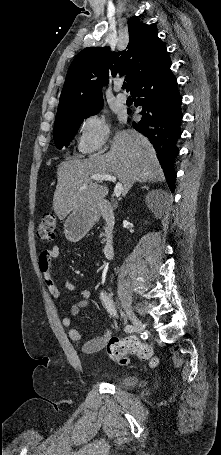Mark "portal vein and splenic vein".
Segmentation results:
<instances>
[{
    "mask_svg": "<svg viewBox=\"0 0 221 455\" xmlns=\"http://www.w3.org/2000/svg\"><path fill=\"white\" fill-rule=\"evenodd\" d=\"M90 178L92 180H96V181L106 180V181H111V182L115 183L114 196L117 198L120 197V195L123 192L122 184L117 182L116 177L111 174H93L90 176Z\"/></svg>",
    "mask_w": 221,
    "mask_h": 455,
    "instance_id": "portal-vein-and-splenic-vein-1",
    "label": "portal vein and splenic vein"
}]
</instances>
